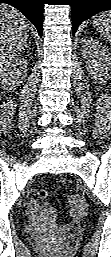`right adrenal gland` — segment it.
Here are the masks:
<instances>
[{
	"label": "right adrenal gland",
	"mask_w": 111,
	"mask_h": 257,
	"mask_svg": "<svg viewBox=\"0 0 111 257\" xmlns=\"http://www.w3.org/2000/svg\"><path fill=\"white\" fill-rule=\"evenodd\" d=\"M26 46L30 47L31 46V40H29L28 44Z\"/></svg>",
	"instance_id": "obj_1"
}]
</instances>
